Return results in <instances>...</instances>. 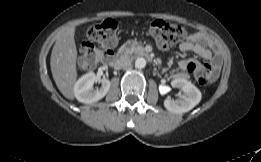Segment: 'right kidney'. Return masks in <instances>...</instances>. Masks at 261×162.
Masks as SVG:
<instances>
[{"instance_id":"obj_1","label":"right kidney","mask_w":261,"mask_h":162,"mask_svg":"<svg viewBox=\"0 0 261 162\" xmlns=\"http://www.w3.org/2000/svg\"><path fill=\"white\" fill-rule=\"evenodd\" d=\"M97 81V77L93 72H88L80 77L74 85V94L79 102L91 104L101 100L110 89V81L101 79V87L93 90L92 87Z\"/></svg>"}]
</instances>
